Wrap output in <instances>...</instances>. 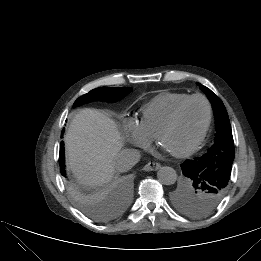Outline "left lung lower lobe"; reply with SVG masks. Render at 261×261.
I'll use <instances>...</instances> for the list:
<instances>
[{
    "mask_svg": "<svg viewBox=\"0 0 261 261\" xmlns=\"http://www.w3.org/2000/svg\"><path fill=\"white\" fill-rule=\"evenodd\" d=\"M183 175L187 178L194 179L202 174L200 167L192 160H186L181 164Z\"/></svg>",
    "mask_w": 261,
    "mask_h": 261,
    "instance_id": "1",
    "label": "left lung lower lobe"
}]
</instances>
